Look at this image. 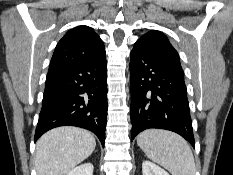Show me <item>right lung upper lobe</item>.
Listing matches in <instances>:
<instances>
[{
	"label": "right lung upper lobe",
	"mask_w": 233,
	"mask_h": 175,
	"mask_svg": "<svg viewBox=\"0 0 233 175\" xmlns=\"http://www.w3.org/2000/svg\"><path fill=\"white\" fill-rule=\"evenodd\" d=\"M104 50L103 41L92 28L78 26L58 42L48 72L91 59Z\"/></svg>",
	"instance_id": "obj_1"
}]
</instances>
